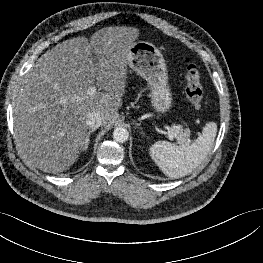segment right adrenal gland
Masks as SVG:
<instances>
[{"instance_id":"right-adrenal-gland-1","label":"right adrenal gland","mask_w":263,"mask_h":263,"mask_svg":"<svg viewBox=\"0 0 263 263\" xmlns=\"http://www.w3.org/2000/svg\"><path fill=\"white\" fill-rule=\"evenodd\" d=\"M95 131V129H92V130H89L88 133H87V137H86V142H85V147L83 150H87L88 149V146H89V143H90V136H91V133H93Z\"/></svg>"}]
</instances>
